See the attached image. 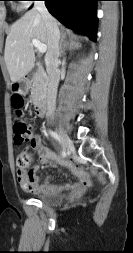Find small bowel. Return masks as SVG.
I'll return each mask as SVG.
<instances>
[{"mask_svg": "<svg viewBox=\"0 0 133 253\" xmlns=\"http://www.w3.org/2000/svg\"><path fill=\"white\" fill-rule=\"evenodd\" d=\"M29 147L33 148L37 152L43 166L49 162L56 161L65 167L71 168L75 176L79 179V182L74 185L75 189L78 190L90 184V177L85 171L76 169L70 161L59 159L48 147L43 144L42 139L39 136H35L31 139ZM27 151L28 147L22 150L21 154L27 153ZM39 168V166H34L29 171L19 167L17 168V180L25 191L38 193L50 188L48 180L40 183V178L37 175Z\"/></svg>", "mask_w": 133, "mask_h": 253, "instance_id": "c3829d8e", "label": "small bowel"}]
</instances>
